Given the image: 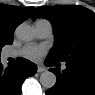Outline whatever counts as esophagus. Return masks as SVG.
Listing matches in <instances>:
<instances>
[{"instance_id":"obj_1","label":"esophagus","mask_w":95,"mask_h":95,"mask_svg":"<svg viewBox=\"0 0 95 95\" xmlns=\"http://www.w3.org/2000/svg\"><path fill=\"white\" fill-rule=\"evenodd\" d=\"M45 70H46V68L43 67V66H38V67H37V72H38V73H42V72H44Z\"/></svg>"}]
</instances>
